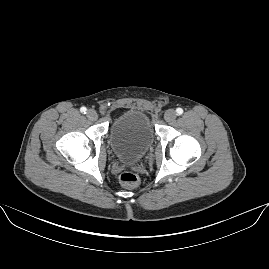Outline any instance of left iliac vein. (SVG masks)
I'll list each match as a JSON object with an SVG mask.
<instances>
[{
	"label": "left iliac vein",
	"instance_id": "left-iliac-vein-1",
	"mask_svg": "<svg viewBox=\"0 0 269 269\" xmlns=\"http://www.w3.org/2000/svg\"><path fill=\"white\" fill-rule=\"evenodd\" d=\"M164 118L167 122H172L176 118V112L172 109H169L165 112Z\"/></svg>",
	"mask_w": 269,
	"mask_h": 269
}]
</instances>
